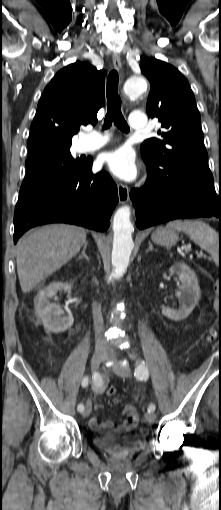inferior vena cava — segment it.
I'll return each instance as SVG.
<instances>
[{"label":"inferior vena cava","instance_id":"inferior-vena-cava-1","mask_svg":"<svg viewBox=\"0 0 221 510\" xmlns=\"http://www.w3.org/2000/svg\"><path fill=\"white\" fill-rule=\"evenodd\" d=\"M93 320H94V331H95V349L100 352H107V342L103 337V317L101 313V307L94 302L92 305Z\"/></svg>","mask_w":221,"mask_h":510}]
</instances>
